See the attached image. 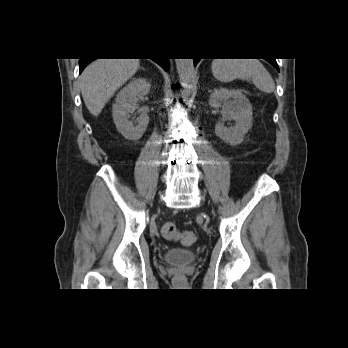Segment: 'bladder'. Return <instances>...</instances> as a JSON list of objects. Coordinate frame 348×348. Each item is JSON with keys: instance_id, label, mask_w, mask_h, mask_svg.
Masks as SVG:
<instances>
[{"instance_id": "31cf9c89", "label": "bladder", "mask_w": 348, "mask_h": 348, "mask_svg": "<svg viewBox=\"0 0 348 348\" xmlns=\"http://www.w3.org/2000/svg\"><path fill=\"white\" fill-rule=\"evenodd\" d=\"M197 252L179 247L169 249L164 255V261L170 264H187L197 259Z\"/></svg>"}]
</instances>
